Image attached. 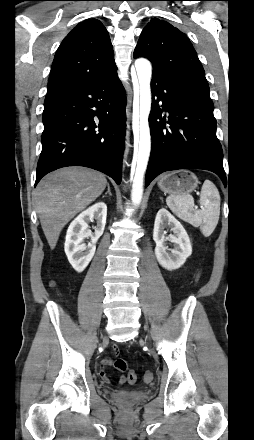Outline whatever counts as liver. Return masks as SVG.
Segmentation results:
<instances>
[{
    "label": "liver",
    "mask_w": 254,
    "mask_h": 440,
    "mask_svg": "<svg viewBox=\"0 0 254 440\" xmlns=\"http://www.w3.org/2000/svg\"><path fill=\"white\" fill-rule=\"evenodd\" d=\"M107 185L106 177L84 167H65L47 174L34 191L36 210L51 249L63 227L95 201Z\"/></svg>",
    "instance_id": "obj_1"
}]
</instances>
